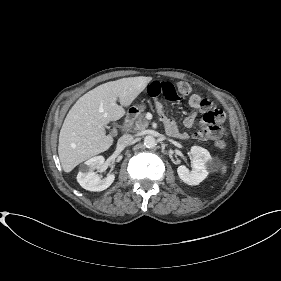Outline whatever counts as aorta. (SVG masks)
<instances>
[{"instance_id":"762f6f07","label":"aorta","mask_w":281,"mask_h":281,"mask_svg":"<svg viewBox=\"0 0 281 281\" xmlns=\"http://www.w3.org/2000/svg\"><path fill=\"white\" fill-rule=\"evenodd\" d=\"M157 144L156 142V139L153 137V136H146L144 138V145L147 147V148H153L155 147Z\"/></svg>"}]
</instances>
